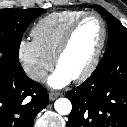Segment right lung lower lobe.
Segmentation results:
<instances>
[{"label":"right lung lower lobe","instance_id":"obj_1","mask_svg":"<svg viewBox=\"0 0 127 127\" xmlns=\"http://www.w3.org/2000/svg\"><path fill=\"white\" fill-rule=\"evenodd\" d=\"M49 102L47 90L29 79L19 62L0 59V127H33Z\"/></svg>","mask_w":127,"mask_h":127}]
</instances>
